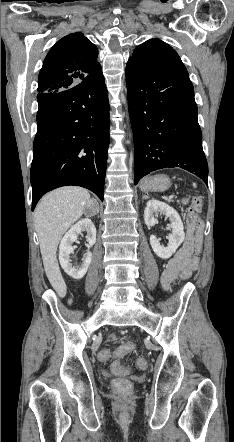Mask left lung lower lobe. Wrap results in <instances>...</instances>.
Listing matches in <instances>:
<instances>
[{
	"label": "left lung lower lobe",
	"mask_w": 234,
	"mask_h": 442,
	"mask_svg": "<svg viewBox=\"0 0 234 442\" xmlns=\"http://www.w3.org/2000/svg\"><path fill=\"white\" fill-rule=\"evenodd\" d=\"M126 82L135 185L149 172L166 167L193 172L208 184L194 89L185 66L129 58Z\"/></svg>",
	"instance_id": "obj_1"
}]
</instances>
